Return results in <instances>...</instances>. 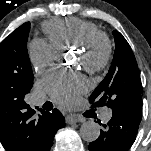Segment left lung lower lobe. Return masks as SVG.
I'll list each match as a JSON object with an SVG mask.
<instances>
[{
	"mask_svg": "<svg viewBox=\"0 0 151 151\" xmlns=\"http://www.w3.org/2000/svg\"><path fill=\"white\" fill-rule=\"evenodd\" d=\"M138 126L112 116L107 124H103L100 137L89 144V150L127 151L135 141Z\"/></svg>",
	"mask_w": 151,
	"mask_h": 151,
	"instance_id": "0a47b994",
	"label": "left lung lower lobe"
}]
</instances>
